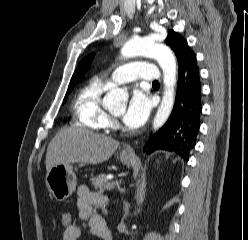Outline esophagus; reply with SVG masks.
I'll return each mask as SVG.
<instances>
[{
	"label": "esophagus",
	"mask_w": 248,
	"mask_h": 240,
	"mask_svg": "<svg viewBox=\"0 0 248 240\" xmlns=\"http://www.w3.org/2000/svg\"><path fill=\"white\" fill-rule=\"evenodd\" d=\"M124 154H131L132 153V149H125L123 151Z\"/></svg>",
	"instance_id": "34e87169"
}]
</instances>
